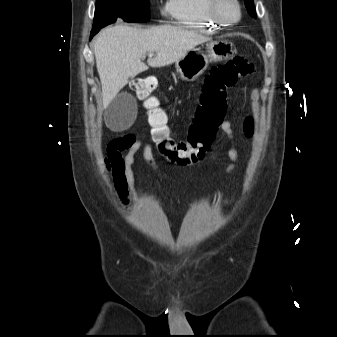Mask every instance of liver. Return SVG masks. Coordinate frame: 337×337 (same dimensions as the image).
Listing matches in <instances>:
<instances>
[{"label":"liver","instance_id":"6515ba94","mask_svg":"<svg viewBox=\"0 0 337 337\" xmlns=\"http://www.w3.org/2000/svg\"><path fill=\"white\" fill-rule=\"evenodd\" d=\"M208 40L195 31L170 25L141 29L119 24L104 29L94 43L103 106L107 107L129 79L148 66L170 65ZM146 53H156L148 58V65L141 61Z\"/></svg>","mask_w":337,"mask_h":337}]
</instances>
